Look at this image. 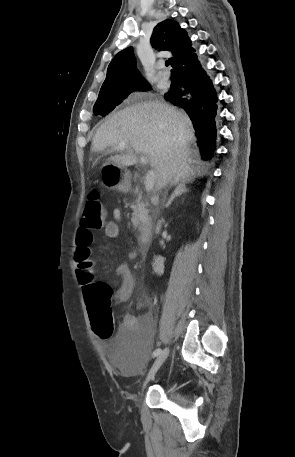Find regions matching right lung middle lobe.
<instances>
[{
    "label": "right lung middle lobe",
    "instance_id": "dd1d6c3e",
    "mask_svg": "<svg viewBox=\"0 0 295 457\" xmlns=\"http://www.w3.org/2000/svg\"><path fill=\"white\" fill-rule=\"evenodd\" d=\"M150 89L151 87L148 82L140 81L134 84L120 86L112 90L101 91L94 105L93 112L95 115L105 116L119 105L132 91Z\"/></svg>",
    "mask_w": 295,
    "mask_h": 457
}]
</instances>
